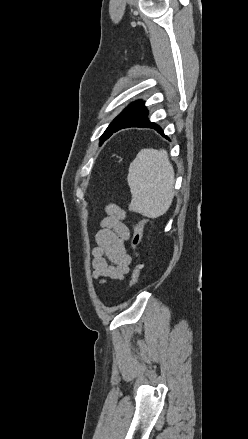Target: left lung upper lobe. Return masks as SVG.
<instances>
[{
  "label": "left lung upper lobe",
  "instance_id": "left-lung-upper-lobe-1",
  "mask_svg": "<svg viewBox=\"0 0 248 439\" xmlns=\"http://www.w3.org/2000/svg\"><path fill=\"white\" fill-rule=\"evenodd\" d=\"M141 101H136L131 103L127 108H125L108 126V128L105 130L101 137V142H103L110 130L115 127L122 119H124L128 114H130L139 104Z\"/></svg>",
  "mask_w": 248,
  "mask_h": 439
}]
</instances>
